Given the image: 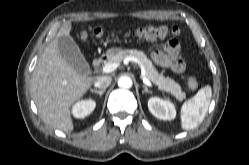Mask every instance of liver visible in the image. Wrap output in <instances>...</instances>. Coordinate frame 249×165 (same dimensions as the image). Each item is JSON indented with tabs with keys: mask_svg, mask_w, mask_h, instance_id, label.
<instances>
[{
	"mask_svg": "<svg viewBox=\"0 0 249 165\" xmlns=\"http://www.w3.org/2000/svg\"><path fill=\"white\" fill-rule=\"evenodd\" d=\"M71 28V23L60 28L40 56L31 81V95L42 120L67 133L74 128L70 107L96 80L75 70L59 52L58 39L69 36Z\"/></svg>",
	"mask_w": 249,
	"mask_h": 165,
	"instance_id": "obj_1",
	"label": "liver"
}]
</instances>
